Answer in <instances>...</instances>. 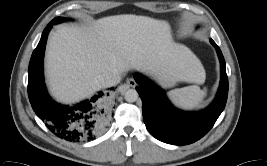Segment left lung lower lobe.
I'll use <instances>...</instances> for the list:
<instances>
[{
  "instance_id": "1",
  "label": "left lung lower lobe",
  "mask_w": 267,
  "mask_h": 166,
  "mask_svg": "<svg viewBox=\"0 0 267 166\" xmlns=\"http://www.w3.org/2000/svg\"><path fill=\"white\" fill-rule=\"evenodd\" d=\"M215 47L221 64V81L214 101L199 112H186L175 108L164 91L147 77L136 74L138 91L143 103V120L148 131L158 140L173 144L187 145L202 138L222 113L228 95V79L225 60L217 44Z\"/></svg>"
}]
</instances>
